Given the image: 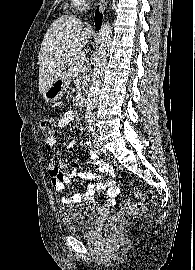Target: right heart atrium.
I'll list each match as a JSON object with an SVG mask.
<instances>
[{
  "instance_id": "d8ad5b80",
  "label": "right heart atrium",
  "mask_w": 195,
  "mask_h": 270,
  "mask_svg": "<svg viewBox=\"0 0 195 270\" xmlns=\"http://www.w3.org/2000/svg\"><path fill=\"white\" fill-rule=\"evenodd\" d=\"M79 4H86L89 0H77Z\"/></svg>"
}]
</instances>
